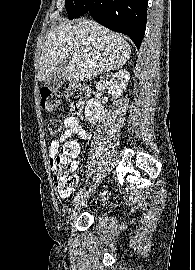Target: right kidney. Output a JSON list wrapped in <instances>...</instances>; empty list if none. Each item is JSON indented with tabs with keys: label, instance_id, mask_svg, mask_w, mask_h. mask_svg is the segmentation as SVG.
Instances as JSON below:
<instances>
[{
	"label": "right kidney",
	"instance_id": "ca27d5eb",
	"mask_svg": "<svg viewBox=\"0 0 195 270\" xmlns=\"http://www.w3.org/2000/svg\"><path fill=\"white\" fill-rule=\"evenodd\" d=\"M130 79V74L128 71L119 70L111 77L107 79L100 80L96 85V91L102 92L108 88L114 99L121 96L123 91L126 89ZM104 110L98 99H90L87 102L85 108V117L89 123H96L102 116Z\"/></svg>",
	"mask_w": 195,
	"mask_h": 270
}]
</instances>
